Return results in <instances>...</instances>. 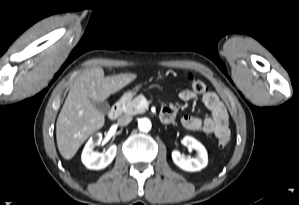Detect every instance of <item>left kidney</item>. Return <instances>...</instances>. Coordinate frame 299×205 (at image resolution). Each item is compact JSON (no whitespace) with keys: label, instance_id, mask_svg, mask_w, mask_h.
Here are the masks:
<instances>
[{"label":"left kidney","instance_id":"left-kidney-1","mask_svg":"<svg viewBox=\"0 0 299 205\" xmlns=\"http://www.w3.org/2000/svg\"><path fill=\"white\" fill-rule=\"evenodd\" d=\"M183 142L189 149H195L197 151V156L195 158L186 159L179 151L175 150L172 152L174 163L182 170L189 172L200 171L206 167L208 163V154L205 147L191 136H185Z\"/></svg>","mask_w":299,"mask_h":205}]
</instances>
